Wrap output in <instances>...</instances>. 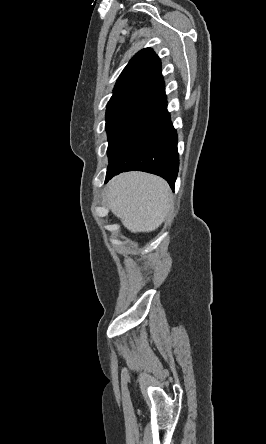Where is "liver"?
Here are the masks:
<instances>
[{
  "mask_svg": "<svg viewBox=\"0 0 266 444\" xmlns=\"http://www.w3.org/2000/svg\"><path fill=\"white\" fill-rule=\"evenodd\" d=\"M106 198L112 213L134 233L157 229L171 208L167 182L143 172H127L114 177L108 183Z\"/></svg>",
  "mask_w": 266,
  "mask_h": 444,
  "instance_id": "1",
  "label": "liver"
}]
</instances>
